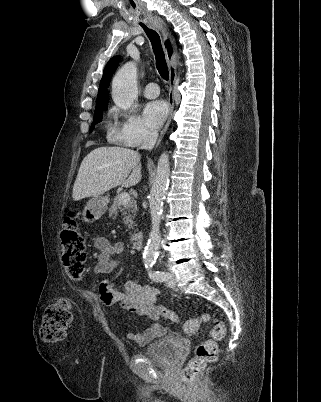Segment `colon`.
Returning <instances> with one entry per match:
<instances>
[{
	"label": "colon",
	"mask_w": 321,
	"mask_h": 402,
	"mask_svg": "<svg viewBox=\"0 0 321 402\" xmlns=\"http://www.w3.org/2000/svg\"><path fill=\"white\" fill-rule=\"evenodd\" d=\"M61 244L66 274L73 280H79L86 262L85 236L78 226L74 213L71 211L64 218ZM72 308L71 300L66 297L59 298L47 306L40 330L41 339L44 343L51 345L65 338L66 331L72 321ZM202 323L211 324L213 339H207L199 343L195 349L194 356L183 369L182 379L187 384H193L206 365L217 360L219 349L215 340L223 339L226 334L222 321L208 314H204L199 318L189 319L185 323L184 329L192 333Z\"/></svg>",
	"instance_id": "obj_1"
}]
</instances>
